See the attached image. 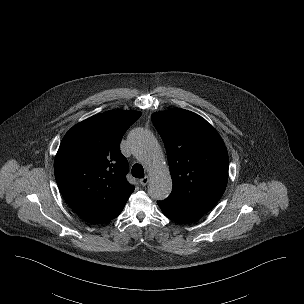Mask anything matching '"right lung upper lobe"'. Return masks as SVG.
<instances>
[{"mask_svg": "<svg viewBox=\"0 0 304 304\" xmlns=\"http://www.w3.org/2000/svg\"><path fill=\"white\" fill-rule=\"evenodd\" d=\"M140 116L132 110L107 111L73 126L62 139L54 161L55 178L65 201L84 220L110 221L133 192L120 142Z\"/></svg>", "mask_w": 304, "mask_h": 304, "instance_id": "cb5924a9", "label": "right lung upper lobe"}]
</instances>
